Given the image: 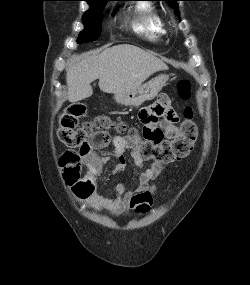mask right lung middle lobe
<instances>
[{
	"label": "right lung middle lobe",
	"mask_w": 250,
	"mask_h": 285,
	"mask_svg": "<svg viewBox=\"0 0 250 285\" xmlns=\"http://www.w3.org/2000/svg\"><path fill=\"white\" fill-rule=\"evenodd\" d=\"M91 6L83 15V24L85 29L80 33L77 39L78 44L83 42H92L99 38L103 18V9L105 2H88Z\"/></svg>",
	"instance_id": "dd1d6c3e"
}]
</instances>
